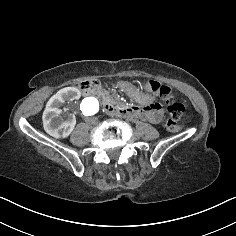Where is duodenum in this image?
<instances>
[{"label": "duodenum", "instance_id": "obj_1", "mask_svg": "<svg viewBox=\"0 0 236 236\" xmlns=\"http://www.w3.org/2000/svg\"><path fill=\"white\" fill-rule=\"evenodd\" d=\"M81 93L84 96H92L94 94L93 89L84 88L81 89ZM103 108L106 113L119 116V117H136L139 116V109L133 105H113L110 103H105Z\"/></svg>", "mask_w": 236, "mask_h": 236}]
</instances>
